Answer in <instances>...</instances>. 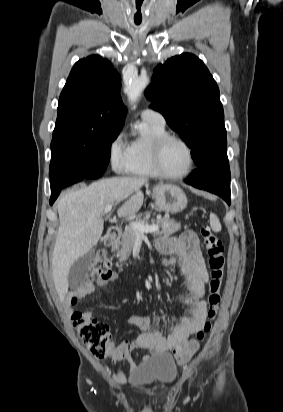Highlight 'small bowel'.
<instances>
[{"mask_svg": "<svg viewBox=\"0 0 283 412\" xmlns=\"http://www.w3.org/2000/svg\"><path fill=\"white\" fill-rule=\"evenodd\" d=\"M156 247L162 253L176 254L178 257L177 264L183 279L180 298L185 311L179 314L169 325V334H165L159 328L152 329L157 323L144 314H133L127 318L126 321L130 326L141 329L143 333L134 340H124L118 344L109 342L106 355L112 362L126 361L130 375L140 371L150 357L169 356L175 349L185 346L188 338L201 330L206 320L207 303L205 293L208 273L201 258L196 233L192 230H186L177 238H160L156 241ZM168 263L175 264L176 261L171 259ZM117 277L118 272H114L107 279L85 284L75 294L79 296L89 295L94 292L96 286H107L114 282ZM86 314L92 315V312L86 311ZM135 350H146L149 354L143 356L141 363H138L132 356ZM194 350L186 353L176 351L175 356L178 363L185 364ZM114 379L119 382L123 381L125 379L124 372L120 371L114 375Z\"/></svg>", "mask_w": 283, "mask_h": 412, "instance_id": "1", "label": "small bowel"}]
</instances>
